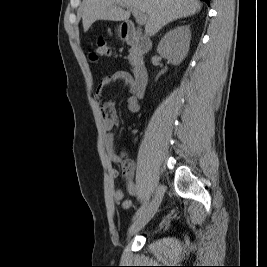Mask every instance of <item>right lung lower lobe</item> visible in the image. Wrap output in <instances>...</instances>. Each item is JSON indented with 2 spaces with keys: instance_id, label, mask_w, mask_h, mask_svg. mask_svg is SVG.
<instances>
[{
  "instance_id": "98d812e1",
  "label": "right lung lower lobe",
  "mask_w": 267,
  "mask_h": 267,
  "mask_svg": "<svg viewBox=\"0 0 267 267\" xmlns=\"http://www.w3.org/2000/svg\"><path fill=\"white\" fill-rule=\"evenodd\" d=\"M207 4H209V0H204Z\"/></svg>"
}]
</instances>
